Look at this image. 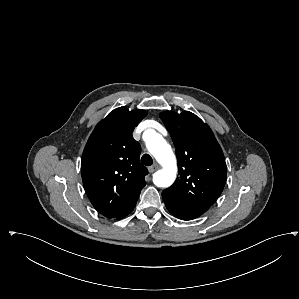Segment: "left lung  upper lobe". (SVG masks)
<instances>
[{
    "mask_svg": "<svg viewBox=\"0 0 299 299\" xmlns=\"http://www.w3.org/2000/svg\"><path fill=\"white\" fill-rule=\"evenodd\" d=\"M160 118L172 137L179 172L175 183L163 192L205 213L226 183L227 167L222 149L209 126L195 114L166 111Z\"/></svg>",
    "mask_w": 299,
    "mask_h": 299,
    "instance_id": "1",
    "label": "left lung upper lobe"
}]
</instances>
